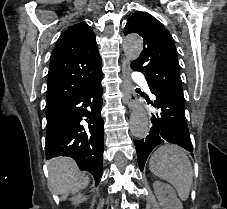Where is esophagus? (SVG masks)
I'll list each match as a JSON object with an SVG mask.
<instances>
[{
	"mask_svg": "<svg viewBox=\"0 0 227 209\" xmlns=\"http://www.w3.org/2000/svg\"><path fill=\"white\" fill-rule=\"evenodd\" d=\"M131 67L129 60L123 59L122 60V85L121 89L124 92V102L128 105L129 110H131L132 113L136 112L137 102L136 101V94L134 91V87L131 83Z\"/></svg>",
	"mask_w": 227,
	"mask_h": 209,
	"instance_id": "34e87169",
	"label": "esophagus"
}]
</instances>
